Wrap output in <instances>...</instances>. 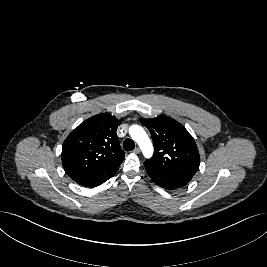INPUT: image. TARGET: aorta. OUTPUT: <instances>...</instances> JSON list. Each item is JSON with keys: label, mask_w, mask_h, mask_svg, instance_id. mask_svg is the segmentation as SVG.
I'll return each instance as SVG.
<instances>
[{"label": "aorta", "mask_w": 267, "mask_h": 267, "mask_svg": "<svg viewBox=\"0 0 267 267\" xmlns=\"http://www.w3.org/2000/svg\"><path fill=\"white\" fill-rule=\"evenodd\" d=\"M129 134L139 145L144 157L150 158L153 155V145L145 130L139 125H132Z\"/></svg>", "instance_id": "aorta-1"}]
</instances>
